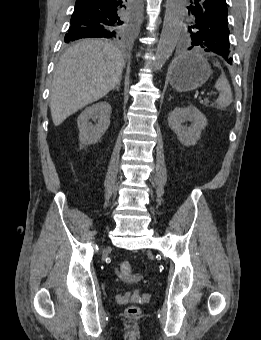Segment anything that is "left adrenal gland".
Masks as SVG:
<instances>
[{
    "instance_id": "obj_1",
    "label": "left adrenal gland",
    "mask_w": 261,
    "mask_h": 340,
    "mask_svg": "<svg viewBox=\"0 0 261 340\" xmlns=\"http://www.w3.org/2000/svg\"><path fill=\"white\" fill-rule=\"evenodd\" d=\"M169 99L171 100V99H172V97L170 96V97H169Z\"/></svg>"
}]
</instances>
